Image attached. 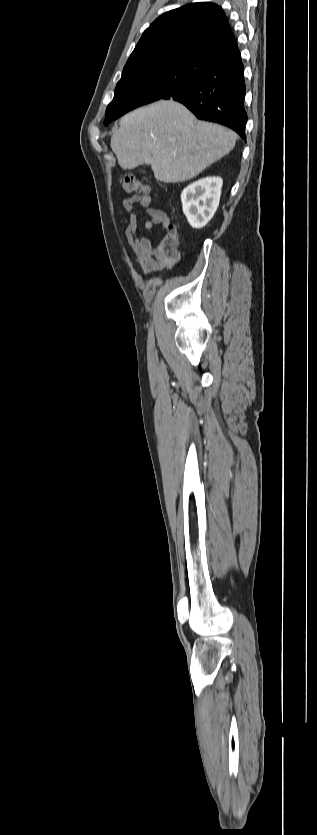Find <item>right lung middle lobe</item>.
Listing matches in <instances>:
<instances>
[{"label": "right lung middle lobe", "instance_id": "obj_1", "mask_svg": "<svg viewBox=\"0 0 317 835\" xmlns=\"http://www.w3.org/2000/svg\"><path fill=\"white\" fill-rule=\"evenodd\" d=\"M204 77L205 73L195 56L152 65L123 75L106 109L104 124L108 125L128 111L162 99Z\"/></svg>", "mask_w": 317, "mask_h": 835}]
</instances>
